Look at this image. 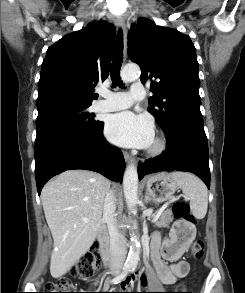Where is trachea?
<instances>
[{
    "label": "trachea",
    "instance_id": "trachea-1",
    "mask_svg": "<svg viewBox=\"0 0 245 293\" xmlns=\"http://www.w3.org/2000/svg\"><path fill=\"white\" fill-rule=\"evenodd\" d=\"M123 62V41H122V33L121 30H119L118 39H117V45L115 49V55L112 61L111 70H110V76L113 83V87L115 86H122L124 87L123 82L120 78V69Z\"/></svg>",
    "mask_w": 245,
    "mask_h": 293
}]
</instances>
